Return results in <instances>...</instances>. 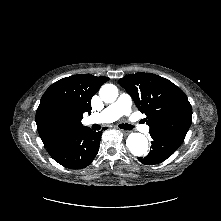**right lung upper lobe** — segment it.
<instances>
[{"instance_id": "1", "label": "right lung upper lobe", "mask_w": 221, "mask_h": 221, "mask_svg": "<svg viewBox=\"0 0 221 221\" xmlns=\"http://www.w3.org/2000/svg\"><path fill=\"white\" fill-rule=\"evenodd\" d=\"M108 77L78 74L53 83L43 94L36 112L39 135L46 148L87 129L83 113H91V99Z\"/></svg>"}]
</instances>
